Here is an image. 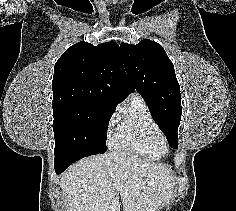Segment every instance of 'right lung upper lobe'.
I'll return each instance as SVG.
<instances>
[{"label": "right lung upper lobe", "instance_id": "1", "mask_svg": "<svg viewBox=\"0 0 236 211\" xmlns=\"http://www.w3.org/2000/svg\"><path fill=\"white\" fill-rule=\"evenodd\" d=\"M53 108L66 104L115 106L133 91L115 42H79L58 59L52 80Z\"/></svg>", "mask_w": 236, "mask_h": 211}]
</instances>
